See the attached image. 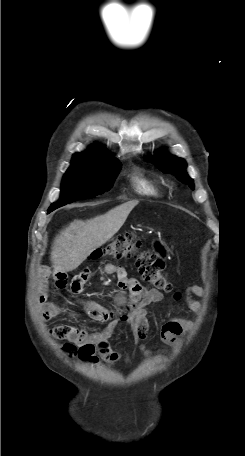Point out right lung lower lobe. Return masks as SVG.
<instances>
[{
    "instance_id": "right-lung-lower-lobe-1",
    "label": "right lung lower lobe",
    "mask_w": 245,
    "mask_h": 456,
    "mask_svg": "<svg viewBox=\"0 0 245 456\" xmlns=\"http://www.w3.org/2000/svg\"><path fill=\"white\" fill-rule=\"evenodd\" d=\"M52 211H53V209H49V210H48V213H50V212H52Z\"/></svg>"
}]
</instances>
